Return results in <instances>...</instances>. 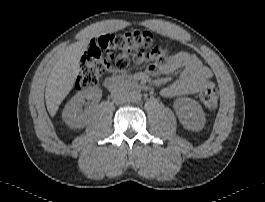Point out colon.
<instances>
[{
    "instance_id": "colon-1",
    "label": "colon",
    "mask_w": 265,
    "mask_h": 202,
    "mask_svg": "<svg viewBox=\"0 0 265 202\" xmlns=\"http://www.w3.org/2000/svg\"><path fill=\"white\" fill-rule=\"evenodd\" d=\"M161 48L154 34L147 30H134L99 37L80 63L76 80L77 89L95 87L100 79L113 71H124L131 61L149 62L161 55ZM200 100L208 110H215L219 101L216 87L201 91Z\"/></svg>"
}]
</instances>
